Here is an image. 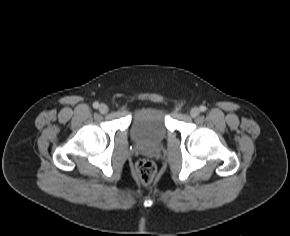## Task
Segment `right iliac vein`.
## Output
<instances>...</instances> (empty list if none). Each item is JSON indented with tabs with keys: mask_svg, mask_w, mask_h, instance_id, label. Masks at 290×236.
<instances>
[{
	"mask_svg": "<svg viewBox=\"0 0 290 236\" xmlns=\"http://www.w3.org/2000/svg\"><path fill=\"white\" fill-rule=\"evenodd\" d=\"M109 111V108L106 104H101L99 106V112L102 114H106Z\"/></svg>",
	"mask_w": 290,
	"mask_h": 236,
	"instance_id": "63e3f726",
	"label": "right iliac vein"
}]
</instances>
